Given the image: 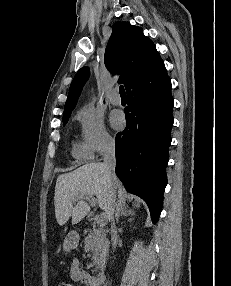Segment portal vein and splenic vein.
Returning <instances> with one entry per match:
<instances>
[{"mask_svg":"<svg viewBox=\"0 0 231 286\" xmlns=\"http://www.w3.org/2000/svg\"><path fill=\"white\" fill-rule=\"evenodd\" d=\"M84 198L89 201L91 206H95L96 201L91 196H85ZM75 201H78V200H75ZM105 223H106V216L104 214L98 215L97 225L100 227H103L105 225Z\"/></svg>","mask_w":231,"mask_h":286,"instance_id":"1","label":"portal vein and splenic vein"}]
</instances>
